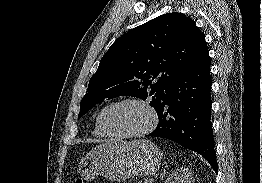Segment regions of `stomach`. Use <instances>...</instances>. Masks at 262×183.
I'll return each instance as SVG.
<instances>
[{
    "label": "stomach",
    "mask_w": 262,
    "mask_h": 183,
    "mask_svg": "<svg viewBox=\"0 0 262 183\" xmlns=\"http://www.w3.org/2000/svg\"><path fill=\"white\" fill-rule=\"evenodd\" d=\"M161 158L160 149L149 140L127 142L110 139L88 152L81 159L77 171L87 181L98 175L112 181H124L155 173Z\"/></svg>",
    "instance_id": "0dacf381"
}]
</instances>
